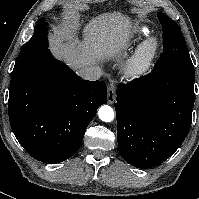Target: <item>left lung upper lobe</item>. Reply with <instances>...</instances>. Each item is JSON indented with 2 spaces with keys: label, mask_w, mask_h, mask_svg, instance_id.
<instances>
[{
  "label": "left lung upper lobe",
  "mask_w": 199,
  "mask_h": 199,
  "mask_svg": "<svg viewBox=\"0 0 199 199\" xmlns=\"http://www.w3.org/2000/svg\"><path fill=\"white\" fill-rule=\"evenodd\" d=\"M158 19L163 30V52L153 71L180 70L194 74V66L181 28L175 21L161 12L158 13Z\"/></svg>",
  "instance_id": "5c2ea615"
}]
</instances>
